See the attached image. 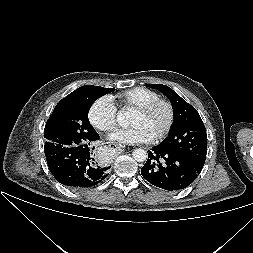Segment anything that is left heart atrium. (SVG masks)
<instances>
[{"label":"left heart atrium","mask_w":253,"mask_h":253,"mask_svg":"<svg viewBox=\"0 0 253 253\" xmlns=\"http://www.w3.org/2000/svg\"><path fill=\"white\" fill-rule=\"evenodd\" d=\"M109 139L122 144H139L151 142L154 136L144 126L133 125L130 128L116 130Z\"/></svg>","instance_id":"1"}]
</instances>
